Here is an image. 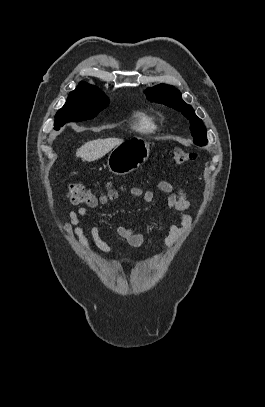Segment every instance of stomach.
I'll use <instances>...</instances> for the list:
<instances>
[{
    "instance_id": "stomach-1",
    "label": "stomach",
    "mask_w": 265,
    "mask_h": 407,
    "mask_svg": "<svg viewBox=\"0 0 265 407\" xmlns=\"http://www.w3.org/2000/svg\"><path fill=\"white\" fill-rule=\"evenodd\" d=\"M149 144L142 139H131L116 146L109 154L107 165L115 175H125L142 165L149 157Z\"/></svg>"
}]
</instances>
